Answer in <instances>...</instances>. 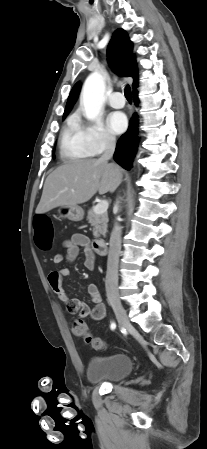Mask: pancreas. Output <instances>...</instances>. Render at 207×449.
<instances>
[{
    "instance_id": "pancreas-1",
    "label": "pancreas",
    "mask_w": 207,
    "mask_h": 449,
    "mask_svg": "<svg viewBox=\"0 0 207 449\" xmlns=\"http://www.w3.org/2000/svg\"><path fill=\"white\" fill-rule=\"evenodd\" d=\"M87 220L93 226V236L95 238L101 235L105 236L107 232L108 214L102 213L97 214L93 209L88 211Z\"/></svg>"
}]
</instances>
